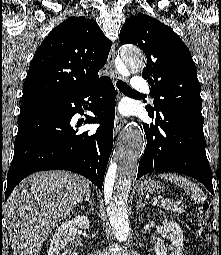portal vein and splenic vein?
<instances>
[{"instance_id":"portal-vein-and-splenic-vein-1","label":"portal vein and splenic vein","mask_w":221,"mask_h":255,"mask_svg":"<svg viewBox=\"0 0 221 255\" xmlns=\"http://www.w3.org/2000/svg\"><path fill=\"white\" fill-rule=\"evenodd\" d=\"M155 203H157L158 201L157 200H154ZM162 204L165 203L166 201L165 200H161L160 201Z\"/></svg>"}]
</instances>
